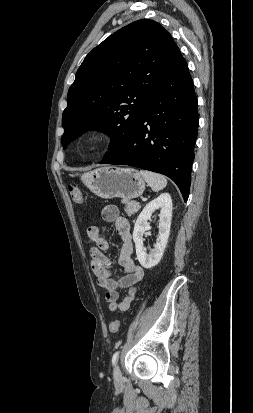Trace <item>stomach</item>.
<instances>
[{"mask_svg": "<svg viewBox=\"0 0 253 413\" xmlns=\"http://www.w3.org/2000/svg\"><path fill=\"white\" fill-rule=\"evenodd\" d=\"M84 185L102 199L130 200L145 190V181L134 168L102 167L81 175Z\"/></svg>", "mask_w": 253, "mask_h": 413, "instance_id": "1", "label": "stomach"}]
</instances>
